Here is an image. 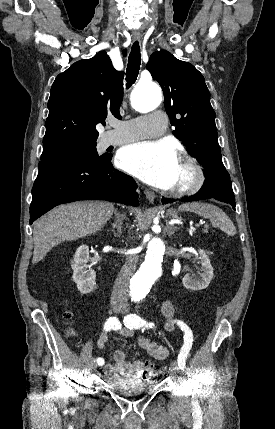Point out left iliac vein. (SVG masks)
<instances>
[{
  "instance_id": "4c4485c4",
  "label": "left iliac vein",
  "mask_w": 275,
  "mask_h": 429,
  "mask_svg": "<svg viewBox=\"0 0 275 429\" xmlns=\"http://www.w3.org/2000/svg\"><path fill=\"white\" fill-rule=\"evenodd\" d=\"M120 312H122V313H126L127 312V309L126 308H122L121 309V311ZM179 365H178V363L176 362V361H173L172 363H171V373H172V375L173 376H177L178 375V373H179V367H178Z\"/></svg>"
}]
</instances>
